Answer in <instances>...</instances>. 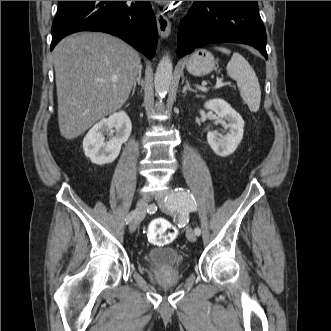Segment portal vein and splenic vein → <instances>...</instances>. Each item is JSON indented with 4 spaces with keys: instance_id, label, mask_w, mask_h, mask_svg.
<instances>
[{
    "instance_id": "18ae733b",
    "label": "portal vein and splenic vein",
    "mask_w": 331,
    "mask_h": 331,
    "mask_svg": "<svg viewBox=\"0 0 331 331\" xmlns=\"http://www.w3.org/2000/svg\"><path fill=\"white\" fill-rule=\"evenodd\" d=\"M225 84H229V83H224L222 79L218 78L215 88H220L221 86L225 85Z\"/></svg>"
}]
</instances>
